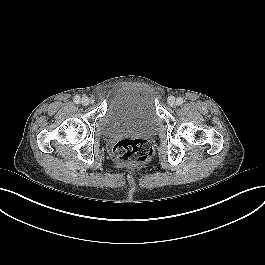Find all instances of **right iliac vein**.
Segmentation results:
<instances>
[{"label": "right iliac vein", "instance_id": "obj_1", "mask_svg": "<svg viewBox=\"0 0 265 265\" xmlns=\"http://www.w3.org/2000/svg\"><path fill=\"white\" fill-rule=\"evenodd\" d=\"M81 103L84 106H87V105H89L91 103V100L88 97H83L82 100H81Z\"/></svg>", "mask_w": 265, "mask_h": 265}]
</instances>
